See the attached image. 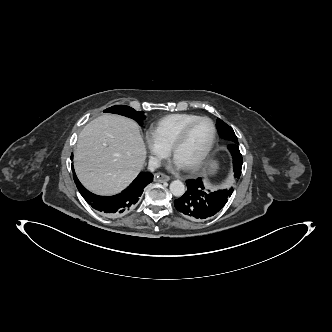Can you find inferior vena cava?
Listing matches in <instances>:
<instances>
[{
	"label": "inferior vena cava",
	"mask_w": 332,
	"mask_h": 332,
	"mask_svg": "<svg viewBox=\"0 0 332 332\" xmlns=\"http://www.w3.org/2000/svg\"><path fill=\"white\" fill-rule=\"evenodd\" d=\"M161 166L160 160L156 157H151L149 159L148 169L150 171H154L155 169Z\"/></svg>",
	"instance_id": "602c4592"
}]
</instances>
